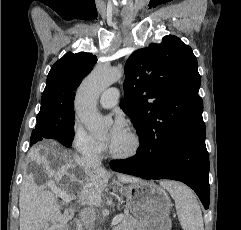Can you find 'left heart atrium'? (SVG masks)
Segmentation results:
<instances>
[{
	"mask_svg": "<svg viewBox=\"0 0 241 230\" xmlns=\"http://www.w3.org/2000/svg\"><path fill=\"white\" fill-rule=\"evenodd\" d=\"M126 122L122 117H117L110 129L107 142L110 148H113L120 139L126 134Z\"/></svg>",
	"mask_w": 241,
	"mask_h": 230,
	"instance_id": "1",
	"label": "left heart atrium"
}]
</instances>
